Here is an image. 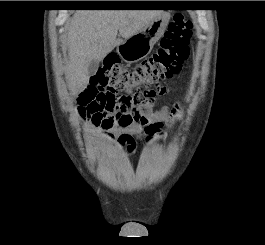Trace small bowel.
<instances>
[{
  "label": "small bowel",
  "mask_w": 265,
  "mask_h": 245,
  "mask_svg": "<svg viewBox=\"0 0 265 245\" xmlns=\"http://www.w3.org/2000/svg\"><path fill=\"white\" fill-rule=\"evenodd\" d=\"M99 93L91 84L87 85L79 95L77 102L82 111L89 110L90 105L97 99ZM180 114L179 103H174L171 107H164L155 112H149L145 116L151 121H161L163 123H170L176 119ZM108 132V135L115 138L119 143L133 148L135 136L139 133L146 132L139 122H131L128 125L115 124L112 126H102Z\"/></svg>",
  "instance_id": "1"
}]
</instances>
